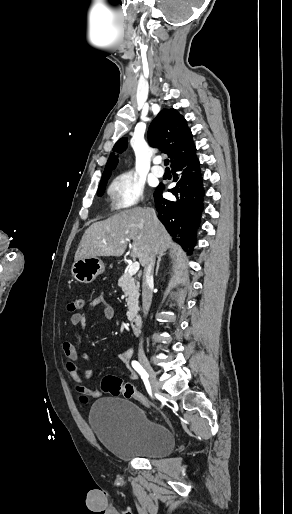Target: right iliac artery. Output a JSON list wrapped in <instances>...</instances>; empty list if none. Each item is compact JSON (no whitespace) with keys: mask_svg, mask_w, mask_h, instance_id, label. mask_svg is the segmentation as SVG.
<instances>
[{"mask_svg":"<svg viewBox=\"0 0 292 514\" xmlns=\"http://www.w3.org/2000/svg\"><path fill=\"white\" fill-rule=\"evenodd\" d=\"M132 367L137 371V373L140 375L141 379L143 380L145 386H146V389L148 391V393L152 396V393H151V386L149 384V381H148V374L147 372L145 371V369L140 365L139 362L137 361H132Z\"/></svg>","mask_w":292,"mask_h":514,"instance_id":"82829eb1","label":"right iliac artery"}]
</instances>
